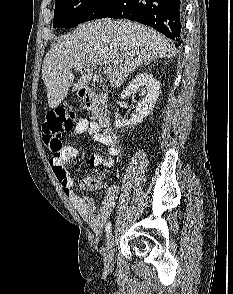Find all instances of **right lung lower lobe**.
Masks as SVG:
<instances>
[{"instance_id":"98d812e1","label":"right lung lower lobe","mask_w":233,"mask_h":294,"mask_svg":"<svg viewBox=\"0 0 233 294\" xmlns=\"http://www.w3.org/2000/svg\"><path fill=\"white\" fill-rule=\"evenodd\" d=\"M182 0H120L106 17L125 18L155 28L181 45Z\"/></svg>"}]
</instances>
